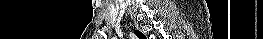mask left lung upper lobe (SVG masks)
Segmentation results:
<instances>
[{"mask_svg": "<svg viewBox=\"0 0 263 39\" xmlns=\"http://www.w3.org/2000/svg\"><path fill=\"white\" fill-rule=\"evenodd\" d=\"M135 33H136V35L138 36L139 39H146L144 34H142L140 31H136Z\"/></svg>", "mask_w": 263, "mask_h": 39, "instance_id": "5c2ea615", "label": "left lung upper lobe"}]
</instances>
